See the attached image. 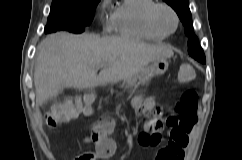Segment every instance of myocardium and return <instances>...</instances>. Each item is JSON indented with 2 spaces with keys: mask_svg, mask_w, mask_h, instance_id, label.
<instances>
[{
  "mask_svg": "<svg viewBox=\"0 0 242 160\" xmlns=\"http://www.w3.org/2000/svg\"><path fill=\"white\" fill-rule=\"evenodd\" d=\"M161 9H165V10L169 11L174 18L175 26L170 31L165 30L158 23L157 14H158V11L161 10ZM146 23L153 31H155V32H157L161 35H164V36H169V35L174 34L177 31V29L179 27L180 19H179L178 13L176 12V10L172 6H170L167 3L158 2V3H154L147 10V12H146Z\"/></svg>",
  "mask_w": 242,
  "mask_h": 160,
  "instance_id": "myocardium-1",
  "label": "myocardium"
}]
</instances>
